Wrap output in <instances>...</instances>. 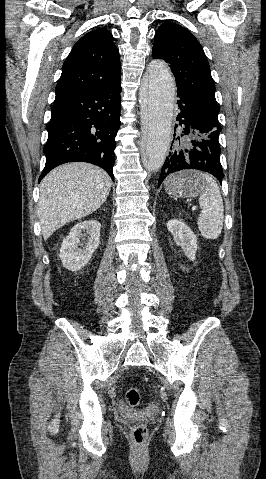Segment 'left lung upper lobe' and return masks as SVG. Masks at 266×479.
Listing matches in <instances>:
<instances>
[{"label": "left lung upper lobe", "instance_id": "obj_1", "mask_svg": "<svg viewBox=\"0 0 266 479\" xmlns=\"http://www.w3.org/2000/svg\"><path fill=\"white\" fill-rule=\"evenodd\" d=\"M153 58L164 59L174 74L177 92H182L218 122L215 85L202 46L192 33L170 21L157 29Z\"/></svg>", "mask_w": 266, "mask_h": 479}]
</instances>
